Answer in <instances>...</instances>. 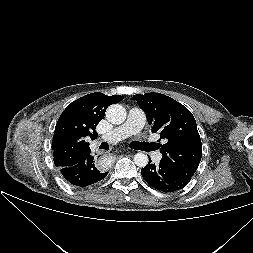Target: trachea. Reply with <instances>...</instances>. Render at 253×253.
Returning <instances> with one entry per match:
<instances>
[{
  "instance_id": "obj_1",
  "label": "trachea",
  "mask_w": 253,
  "mask_h": 253,
  "mask_svg": "<svg viewBox=\"0 0 253 253\" xmlns=\"http://www.w3.org/2000/svg\"><path fill=\"white\" fill-rule=\"evenodd\" d=\"M100 149H108L109 148V146H108V144L106 143V142H103L101 145H100ZM131 147L133 148V146L131 145Z\"/></svg>"
}]
</instances>
